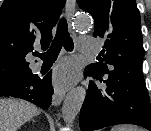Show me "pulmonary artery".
I'll list each match as a JSON object with an SVG mask.
<instances>
[{"label":"pulmonary artery","instance_id":"obj_1","mask_svg":"<svg viewBox=\"0 0 151 131\" xmlns=\"http://www.w3.org/2000/svg\"><path fill=\"white\" fill-rule=\"evenodd\" d=\"M97 46V41L89 36L79 38V48L85 52L92 51Z\"/></svg>","mask_w":151,"mask_h":131}]
</instances>
